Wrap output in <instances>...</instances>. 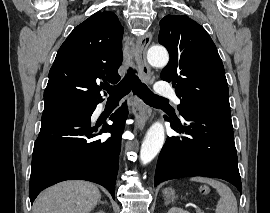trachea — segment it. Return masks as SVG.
Segmentation results:
<instances>
[{"label": "trachea", "mask_w": 270, "mask_h": 213, "mask_svg": "<svg viewBox=\"0 0 270 213\" xmlns=\"http://www.w3.org/2000/svg\"><path fill=\"white\" fill-rule=\"evenodd\" d=\"M137 71L129 68L126 76L115 86H108L105 89L109 93V99L120 100L131 90L147 104L154 102L168 101L166 98L155 95L144 83L141 82Z\"/></svg>", "instance_id": "3493384b"}]
</instances>
